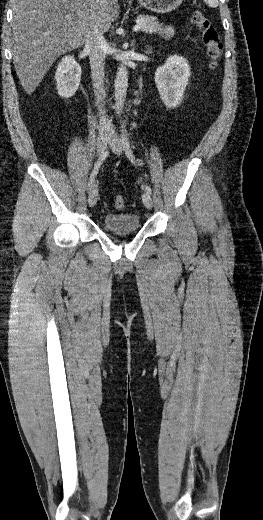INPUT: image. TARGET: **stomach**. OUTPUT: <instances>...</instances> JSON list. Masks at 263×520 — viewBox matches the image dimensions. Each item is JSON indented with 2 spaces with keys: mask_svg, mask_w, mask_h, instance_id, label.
I'll list each match as a JSON object with an SVG mask.
<instances>
[{
  "mask_svg": "<svg viewBox=\"0 0 263 520\" xmlns=\"http://www.w3.org/2000/svg\"><path fill=\"white\" fill-rule=\"evenodd\" d=\"M140 5L155 13H168L177 9L183 0H138Z\"/></svg>",
  "mask_w": 263,
  "mask_h": 520,
  "instance_id": "stomach-1",
  "label": "stomach"
}]
</instances>
